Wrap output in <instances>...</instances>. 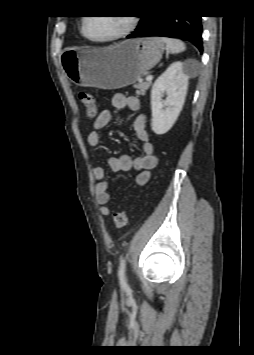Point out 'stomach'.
I'll return each mask as SVG.
<instances>
[{
  "mask_svg": "<svg viewBox=\"0 0 254 355\" xmlns=\"http://www.w3.org/2000/svg\"><path fill=\"white\" fill-rule=\"evenodd\" d=\"M165 49L158 37L136 38L106 48H66L60 62L75 84L118 89L134 84L161 59Z\"/></svg>",
  "mask_w": 254,
  "mask_h": 355,
  "instance_id": "1",
  "label": "stomach"
}]
</instances>
